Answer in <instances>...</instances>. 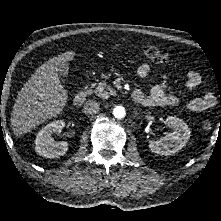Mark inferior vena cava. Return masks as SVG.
Wrapping results in <instances>:
<instances>
[{
	"label": "inferior vena cava",
	"mask_w": 221,
	"mask_h": 221,
	"mask_svg": "<svg viewBox=\"0 0 221 221\" xmlns=\"http://www.w3.org/2000/svg\"><path fill=\"white\" fill-rule=\"evenodd\" d=\"M100 110V104L96 101L89 100L84 104L83 111L87 115H93Z\"/></svg>",
	"instance_id": "inferior-vena-cava-1"
}]
</instances>
